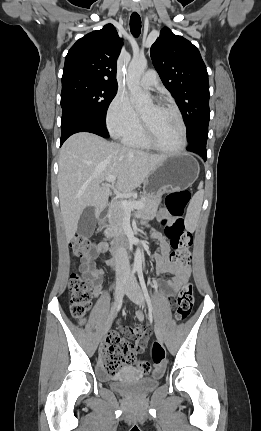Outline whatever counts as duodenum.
Returning <instances> with one entry per match:
<instances>
[{
    "mask_svg": "<svg viewBox=\"0 0 261 431\" xmlns=\"http://www.w3.org/2000/svg\"><path fill=\"white\" fill-rule=\"evenodd\" d=\"M131 242H133V234L129 233L125 239L117 240L111 245L110 247L111 253L117 254L123 247H125ZM112 264H113V261H112Z\"/></svg>",
    "mask_w": 261,
    "mask_h": 431,
    "instance_id": "410a0bca",
    "label": "duodenum"
}]
</instances>
